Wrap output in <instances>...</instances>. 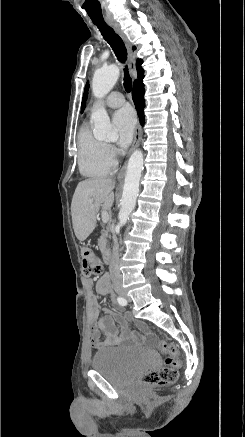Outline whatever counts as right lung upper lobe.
<instances>
[{"mask_svg": "<svg viewBox=\"0 0 245 437\" xmlns=\"http://www.w3.org/2000/svg\"><path fill=\"white\" fill-rule=\"evenodd\" d=\"M141 64H142V60L138 59L136 63V67L138 71V79L136 81L143 79L144 70L142 69Z\"/></svg>", "mask_w": 245, "mask_h": 437, "instance_id": "right-lung-upper-lobe-1", "label": "right lung upper lobe"}]
</instances>
